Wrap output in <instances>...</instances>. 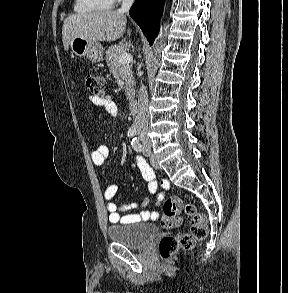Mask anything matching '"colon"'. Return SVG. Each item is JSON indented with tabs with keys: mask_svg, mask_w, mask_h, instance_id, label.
<instances>
[{
	"mask_svg": "<svg viewBox=\"0 0 288 293\" xmlns=\"http://www.w3.org/2000/svg\"><path fill=\"white\" fill-rule=\"evenodd\" d=\"M85 85L87 90L94 96H101L106 87L105 79L94 73L86 75ZM184 209L191 219L189 233L178 236H163L158 245L161 258L168 259L179 249H192L198 241L205 239L207 235L206 219L203 213L199 212L193 204H185L180 196H170L165 199L162 210L161 226L164 229H173L180 225V214Z\"/></svg>",
	"mask_w": 288,
	"mask_h": 293,
	"instance_id": "obj_1",
	"label": "colon"
}]
</instances>
